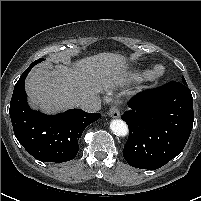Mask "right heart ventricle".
I'll use <instances>...</instances> for the list:
<instances>
[{"mask_svg":"<svg viewBox=\"0 0 201 201\" xmlns=\"http://www.w3.org/2000/svg\"><path fill=\"white\" fill-rule=\"evenodd\" d=\"M146 72L145 71H138L135 70L132 72V74L130 75V78L134 81H139L141 80L144 76H145Z\"/></svg>","mask_w":201,"mask_h":201,"instance_id":"right-heart-ventricle-1","label":"right heart ventricle"}]
</instances>
